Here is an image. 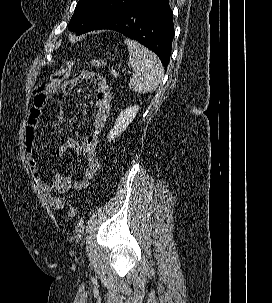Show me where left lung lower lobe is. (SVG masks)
I'll list each match as a JSON object with an SVG mask.
<instances>
[{
    "mask_svg": "<svg viewBox=\"0 0 272 303\" xmlns=\"http://www.w3.org/2000/svg\"><path fill=\"white\" fill-rule=\"evenodd\" d=\"M169 0H141L93 30H115L143 44L169 64L174 25Z\"/></svg>",
    "mask_w": 272,
    "mask_h": 303,
    "instance_id": "left-lung-lower-lobe-1",
    "label": "left lung lower lobe"
}]
</instances>
